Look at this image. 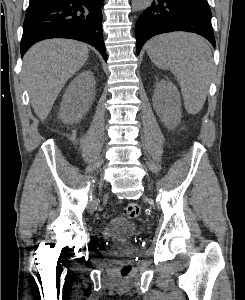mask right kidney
<instances>
[{
	"label": "right kidney",
	"instance_id": "ca27d5eb",
	"mask_svg": "<svg viewBox=\"0 0 245 300\" xmlns=\"http://www.w3.org/2000/svg\"><path fill=\"white\" fill-rule=\"evenodd\" d=\"M95 97V79L91 71L77 75L65 91L59 118L71 124L80 120L89 110Z\"/></svg>",
	"mask_w": 245,
	"mask_h": 300
}]
</instances>
